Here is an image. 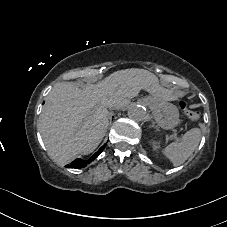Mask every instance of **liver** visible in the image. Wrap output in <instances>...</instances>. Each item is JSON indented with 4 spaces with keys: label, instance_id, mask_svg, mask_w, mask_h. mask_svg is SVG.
Masks as SVG:
<instances>
[{
    "label": "liver",
    "instance_id": "obj_1",
    "mask_svg": "<svg viewBox=\"0 0 227 227\" xmlns=\"http://www.w3.org/2000/svg\"><path fill=\"white\" fill-rule=\"evenodd\" d=\"M153 79L149 71L131 68L85 89L69 82L56 84L46 97L39 123L50 157L63 164L76 154L92 153L106 134L110 99L134 97L141 88L150 91Z\"/></svg>",
    "mask_w": 227,
    "mask_h": 227
}]
</instances>
